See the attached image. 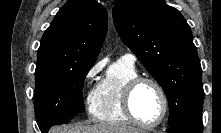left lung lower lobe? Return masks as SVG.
Here are the masks:
<instances>
[{"label": "left lung lower lobe", "mask_w": 221, "mask_h": 133, "mask_svg": "<svg viewBox=\"0 0 221 133\" xmlns=\"http://www.w3.org/2000/svg\"><path fill=\"white\" fill-rule=\"evenodd\" d=\"M167 131L170 133H202L203 125L201 114H194L185 117L180 122L170 126Z\"/></svg>", "instance_id": "obj_1"}]
</instances>
